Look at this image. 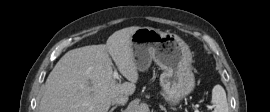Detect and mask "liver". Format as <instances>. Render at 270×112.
Here are the masks:
<instances>
[{"label": "liver", "instance_id": "obj_1", "mask_svg": "<svg viewBox=\"0 0 270 112\" xmlns=\"http://www.w3.org/2000/svg\"><path fill=\"white\" fill-rule=\"evenodd\" d=\"M139 28L118 30L106 44L68 51L46 80L39 112H108L113 98L132 95L136 90L138 71L131 36ZM109 55L130 82L121 84L114 79Z\"/></svg>", "mask_w": 270, "mask_h": 112}]
</instances>
